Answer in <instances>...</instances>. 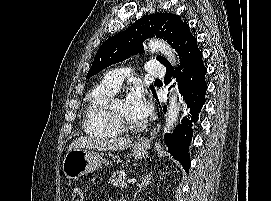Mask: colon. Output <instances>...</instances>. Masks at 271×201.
<instances>
[{
    "instance_id": "1",
    "label": "colon",
    "mask_w": 271,
    "mask_h": 201,
    "mask_svg": "<svg viewBox=\"0 0 271 201\" xmlns=\"http://www.w3.org/2000/svg\"><path fill=\"white\" fill-rule=\"evenodd\" d=\"M71 201H84V194L81 188L73 190Z\"/></svg>"
}]
</instances>
